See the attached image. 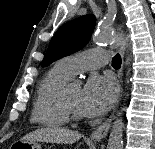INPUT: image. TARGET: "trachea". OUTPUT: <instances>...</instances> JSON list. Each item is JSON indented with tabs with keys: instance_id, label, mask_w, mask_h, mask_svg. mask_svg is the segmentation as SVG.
<instances>
[{
	"instance_id": "trachea-1",
	"label": "trachea",
	"mask_w": 155,
	"mask_h": 149,
	"mask_svg": "<svg viewBox=\"0 0 155 149\" xmlns=\"http://www.w3.org/2000/svg\"><path fill=\"white\" fill-rule=\"evenodd\" d=\"M112 66H113V68H120L121 67V56L119 54H116L112 58Z\"/></svg>"
}]
</instances>
